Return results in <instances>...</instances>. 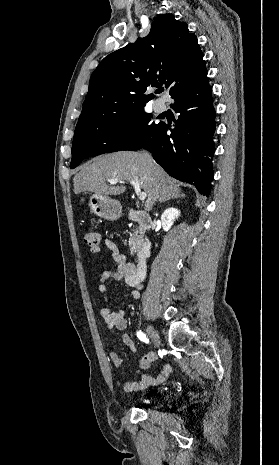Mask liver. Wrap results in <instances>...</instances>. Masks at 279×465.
<instances>
[{
	"label": "liver",
	"mask_w": 279,
	"mask_h": 465,
	"mask_svg": "<svg viewBox=\"0 0 279 465\" xmlns=\"http://www.w3.org/2000/svg\"><path fill=\"white\" fill-rule=\"evenodd\" d=\"M111 179H118L121 185H108ZM131 180L137 181L147 195L146 211L152 210L155 202L173 199L181 192L179 183L154 160L150 163L144 153L120 151L85 163L73 179L74 193L87 191L104 196L120 195L126 190L122 184Z\"/></svg>",
	"instance_id": "6515ba94"
}]
</instances>
